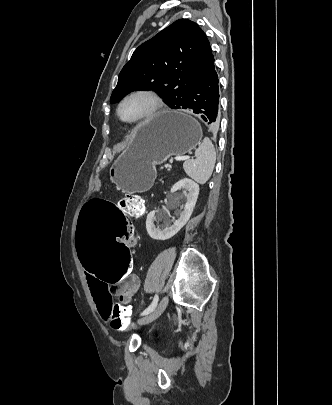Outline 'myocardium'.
<instances>
[{
  "mask_svg": "<svg viewBox=\"0 0 332 405\" xmlns=\"http://www.w3.org/2000/svg\"><path fill=\"white\" fill-rule=\"evenodd\" d=\"M136 96L147 97L151 101V107L144 115H142L136 119H133V120L124 119L121 115V108H122L123 104L130 98H133ZM162 106H163L162 99L154 90L147 89V88H140V89H136V90L129 92L120 100V102L118 103V106H117V115L122 122L131 124V125H136V124H141L143 122H146V121L154 118L159 113Z\"/></svg>",
  "mask_w": 332,
  "mask_h": 405,
  "instance_id": "myocardium-1",
  "label": "myocardium"
}]
</instances>
